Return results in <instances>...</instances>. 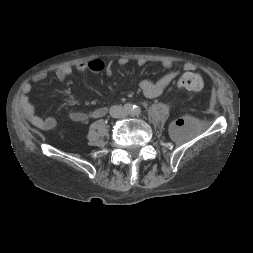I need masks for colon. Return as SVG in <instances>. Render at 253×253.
Masks as SVG:
<instances>
[{
  "instance_id": "1",
  "label": "colon",
  "mask_w": 253,
  "mask_h": 253,
  "mask_svg": "<svg viewBox=\"0 0 253 253\" xmlns=\"http://www.w3.org/2000/svg\"><path fill=\"white\" fill-rule=\"evenodd\" d=\"M105 67V62L101 59H94L89 62V68L92 72H102ZM177 84L180 88L197 92L204 88V79L198 73L186 72L181 75Z\"/></svg>"
}]
</instances>
